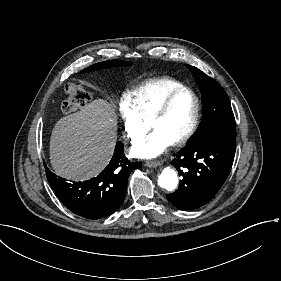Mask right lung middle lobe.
Segmentation results:
<instances>
[{
	"mask_svg": "<svg viewBox=\"0 0 281 281\" xmlns=\"http://www.w3.org/2000/svg\"><path fill=\"white\" fill-rule=\"evenodd\" d=\"M123 65H131V63L121 61V60H110V61L96 63V64L82 70V72L84 73V72L96 71V70H100L103 68H111L114 66H123Z\"/></svg>",
	"mask_w": 281,
	"mask_h": 281,
	"instance_id": "dd1d6c3e",
	"label": "right lung middle lobe"
}]
</instances>
